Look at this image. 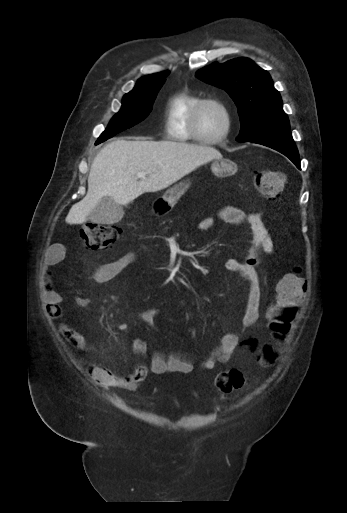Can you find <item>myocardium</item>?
<instances>
[{"instance_id":"1","label":"myocardium","mask_w":347,"mask_h":513,"mask_svg":"<svg viewBox=\"0 0 347 513\" xmlns=\"http://www.w3.org/2000/svg\"><path fill=\"white\" fill-rule=\"evenodd\" d=\"M207 104H215V105L219 106L222 109V111L224 112L225 118H226L225 130L223 131V133L221 135H219L215 138L203 137L200 134L199 127H198L199 114H200L202 108L204 106H206ZM232 125H233V116H232L230 107L225 102L215 99V98H202L198 102V104L196 105V107L194 108V110L192 111V114H191L190 131H191L192 135L203 144L215 145V144L222 142L229 136L231 129H232Z\"/></svg>"}]
</instances>
